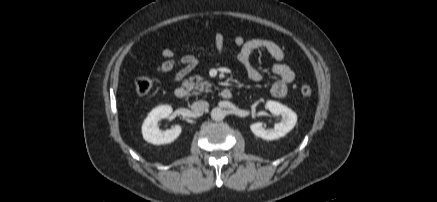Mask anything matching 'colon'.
<instances>
[{"label":"colon","instance_id":"obj_1","mask_svg":"<svg viewBox=\"0 0 437 202\" xmlns=\"http://www.w3.org/2000/svg\"><path fill=\"white\" fill-rule=\"evenodd\" d=\"M155 81L150 76H138L135 79V88L136 91L141 94L145 95L148 94L154 87ZM300 94L303 97H309L312 94V88L308 84H303L300 87Z\"/></svg>","mask_w":437,"mask_h":202}]
</instances>
